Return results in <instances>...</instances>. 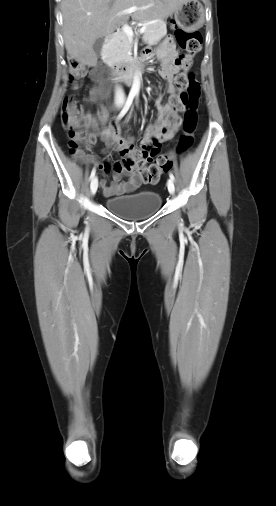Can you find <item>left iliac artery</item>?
<instances>
[{"label": "left iliac artery", "mask_w": 276, "mask_h": 506, "mask_svg": "<svg viewBox=\"0 0 276 506\" xmlns=\"http://www.w3.org/2000/svg\"><path fill=\"white\" fill-rule=\"evenodd\" d=\"M169 177H170V179H171L172 181H174V180H175V177H174V175H173L172 173H169Z\"/></svg>", "instance_id": "obj_1"}]
</instances>
